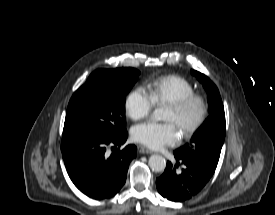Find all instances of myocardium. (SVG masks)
<instances>
[{
    "mask_svg": "<svg viewBox=\"0 0 275 215\" xmlns=\"http://www.w3.org/2000/svg\"><path fill=\"white\" fill-rule=\"evenodd\" d=\"M194 104L199 106V113L193 122L182 128L181 131L184 137L192 136L205 123L209 112L206 99L200 94L193 93L167 104L177 113L185 112Z\"/></svg>",
    "mask_w": 275,
    "mask_h": 215,
    "instance_id": "1",
    "label": "myocardium"
}]
</instances>
